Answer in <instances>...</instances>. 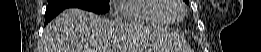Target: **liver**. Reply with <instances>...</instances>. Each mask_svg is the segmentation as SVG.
Segmentation results:
<instances>
[{
    "instance_id": "obj_1",
    "label": "liver",
    "mask_w": 261,
    "mask_h": 52,
    "mask_svg": "<svg viewBox=\"0 0 261 52\" xmlns=\"http://www.w3.org/2000/svg\"><path fill=\"white\" fill-rule=\"evenodd\" d=\"M138 36L133 23L68 8L46 25L40 52H131L140 50Z\"/></svg>"
}]
</instances>
